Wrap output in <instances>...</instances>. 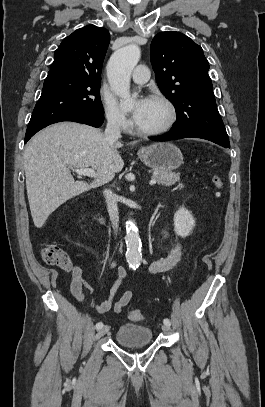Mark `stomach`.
Instances as JSON below:
<instances>
[{
    "instance_id": "1",
    "label": "stomach",
    "mask_w": 265,
    "mask_h": 407,
    "mask_svg": "<svg viewBox=\"0 0 265 407\" xmlns=\"http://www.w3.org/2000/svg\"><path fill=\"white\" fill-rule=\"evenodd\" d=\"M141 161L156 171H172L183 163L181 151L170 142L154 143L138 151Z\"/></svg>"
}]
</instances>
